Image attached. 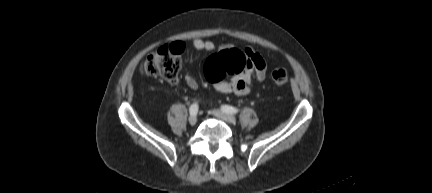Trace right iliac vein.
<instances>
[{"label":"right iliac vein","mask_w":432,"mask_h":193,"mask_svg":"<svg viewBox=\"0 0 432 193\" xmlns=\"http://www.w3.org/2000/svg\"><path fill=\"white\" fill-rule=\"evenodd\" d=\"M197 115H191L189 118H188V121H189V123L191 124V125H194V124H196V122H197Z\"/></svg>","instance_id":"right-iliac-vein-1"}]
</instances>
